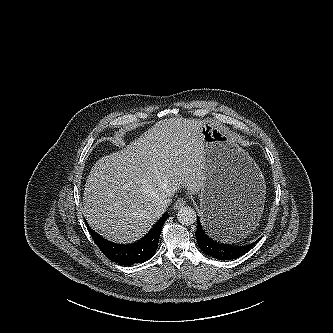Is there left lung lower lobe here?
<instances>
[{"label":"left lung lower lobe","mask_w":333,"mask_h":333,"mask_svg":"<svg viewBox=\"0 0 333 333\" xmlns=\"http://www.w3.org/2000/svg\"><path fill=\"white\" fill-rule=\"evenodd\" d=\"M198 228L195 233L197 243L199 248L206 253L207 255L219 259V260H232L236 259L245 253H247L260 239L257 241L245 245V246H235L231 244H223L217 241L212 240L207 236L205 231L202 228L199 218H197ZM231 224V223H230ZM230 224L218 225L215 227L216 236L221 239V233L226 229Z\"/></svg>","instance_id":"obj_1"}]
</instances>
